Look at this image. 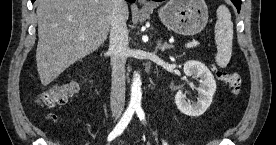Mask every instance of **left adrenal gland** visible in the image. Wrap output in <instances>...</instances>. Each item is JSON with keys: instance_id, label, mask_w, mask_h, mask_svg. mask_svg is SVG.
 <instances>
[{"instance_id": "1", "label": "left adrenal gland", "mask_w": 276, "mask_h": 145, "mask_svg": "<svg viewBox=\"0 0 276 145\" xmlns=\"http://www.w3.org/2000/svg\"><path fill=\"white\" fill-rule=\"evenodd\" d=\"M157 47L164 52L166 49H171L174 46L172 44H168L167 42H165L164 44L161 43V41L159 40L157 43Z\"/></svg>"}]
</instances>
